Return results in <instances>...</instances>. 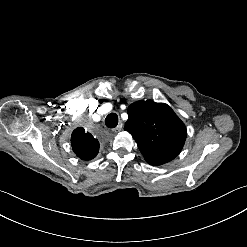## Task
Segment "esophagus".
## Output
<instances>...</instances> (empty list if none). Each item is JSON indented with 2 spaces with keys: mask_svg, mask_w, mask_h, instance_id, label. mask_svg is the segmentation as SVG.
I'll list each match as a JSON object with an SVG mask.
<instances>
[{
  "mask_svg": "<svg viewBox=\"0 0 247 247\" xmlns=\"http://www.w3.org/2000/svg\"><path fill=\"white\" fill-rule=\"evenodd\" d=\"M121 129H122V124H119L115 128L112 129V132L116 134V133L120 132Z\"/></svg>",
  "mask_w": 247,
  "mask_h": 247,
  "instance_id": "1",
  "label": "esophagus"
}]
</instances>
